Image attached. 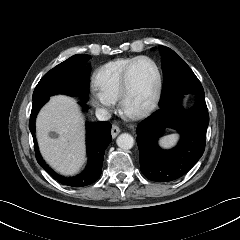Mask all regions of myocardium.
Returning a JSON list of instances; mask_svg holds the SVG:
<instances>
[{
  "label": "myocardium",
  "instance_id": "obj_1",
  "mask_svg": "<svg viewBox=\"0 0 240 240\" xmlns=\"http://www.w3.org/2000/svg\"><path fill=\"white\" fill-rule=\"evenodd\" d=\"M142 60H148L150 61L156 70V84L154 91L150 97V99L147 101L146 104H144L142 107L134 110H129L127 108V99L130 94V77L131 73L135 67V65L142 61ZM162 72L159 64L150 56L142 55L139 57H136L135 60L126 68L123 78H122V84H121V91L118 98L119 101V108L120 111L126 115L129 118L132 119H139L147 116L149 113H151L154 108L157 106L161 92H162Z\"/></svg>",
  "mask_w": 240,
  "mask_h": 240
}]
</instances>
